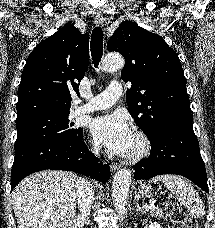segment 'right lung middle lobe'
<instances>
[{
    "label": "right lung middle lobe",
    "instance_id": "right-lung-middle-lobe-1",
    "mask_svg": "<svg viewBox=\"0 0 215 228\" xmlns=\"http://www.w3.org/2000/svg\"><path fill=\"white\" fill-rule=\"evenodd\" d=\"M69 112L49 114L33 117L21 122H16L17 139L15 149L28 143L60 138L70 141H78L83 138L82 128H74L69 123Z\"/></svg>",
    "mask_w": 215,
    "mask_h": 228
}]
</instances>
